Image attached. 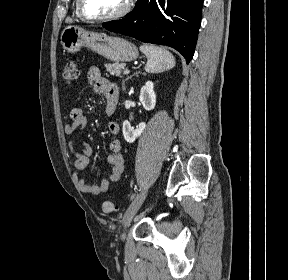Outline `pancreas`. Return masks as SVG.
I'll return each instance as SVG.
<instances>
[{"label": "pancreas", "instance_id": "1", "mask_svg": "<svg viewBox=\"0 0 288 280\" xmlns=\"http://www.w3.org/2000/svg\"><path fill=\"white\" fill-rule=\"evenodd\" d=\"M105 67L111 75L121 77V70L124 69L125 64L124 63H109V64H106Z\"/></svg>", "mask_w": 288, "mask_h": 280}]
</instances>
